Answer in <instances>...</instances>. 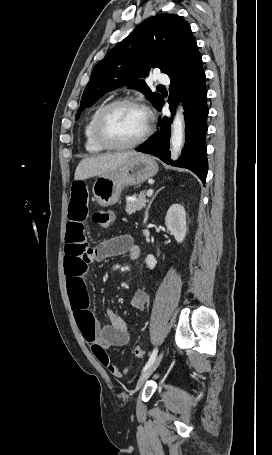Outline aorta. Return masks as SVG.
Here are the masks:
<instances>
[{
    "mask_svg": "<svg viewBox=\"0 0 272 455\" xmlns=\"http://www.w3.org/2000/svg\"><path fill=\"white\" fill-rule=\"evenodd\" d=\"M183 110L179 107L176 111V115L174 117L172 123V133H171V157L176 159L179 152L181 151V147L183 144L184 139V119H183Z\"/></svg>",
    "mask_w": 272,
    "mask_h": 455,
    "instance_id": "obj_1",
    "label": "aorta"
}]
</instances>
